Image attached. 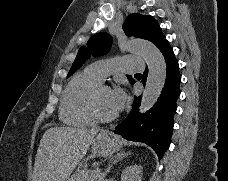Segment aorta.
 Here are the masks:
<instances>
[{"label":"aorta","mask_w":228,"mask_h":181,"mask_svg":"<svg viewBox=\"0 0 228 181\" xmlns=\"http://www.w3.org/2000/svg\"><path fill=\"white\" fill-rule=\"evenodd\" d=\"M127 49L143 57L148 66V78L142 95L139 112L145 113L157 102L166 80V62L160 50L151 42L132 39Z\"/></svg>","instance_id":"1"}]
</instances>
